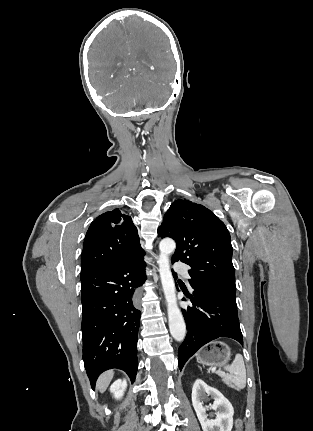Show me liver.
<instances>
[{
	"label": "liver",
	"mask_w": 313,
	"mask_h": 431,
	"mask_svg": "<svg viewBox=\"0 0 313 431\" xmlns=\"http://www.w3.org/2000/svg\"><path fill=\"white\" fill-rule=\"evenodd\" d=\"M113 375H114V372L112 370H110V371L103 373L99 377V379L97 381V388L101 393L107 389V387L109 386V384L113 378Z\"/></svg>",
	"instance_id": "obj_1"
}]
</instances>
